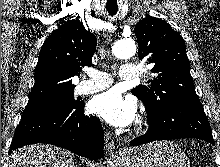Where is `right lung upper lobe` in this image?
<instances>
[{"label": "right lung upper lobe", "instance_id": "cb5924a9", "mask_svg": "<svg viewBox=\"0 0 220 167\" xmlns=\"http://www.w3.org/2000/svg\"><path fill=\"white\" fill-rule=\"evenodd\" d=\"M96 45L95 35L77 19L52 32L41 48L29 99L74 89L71 78L92 65Z\"/></svg>", "mask_w": 220, "mask_h": 167}]
</instances>
